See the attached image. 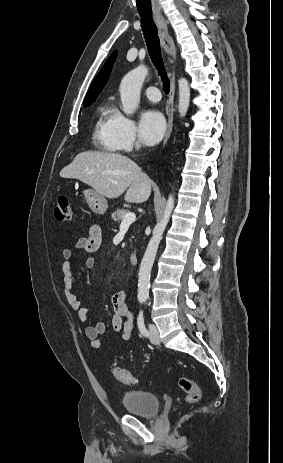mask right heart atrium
<instances>
[{"mask_svg": "<svg viewBox=\"0 0 283 463\" xmlns=\"http://www.w3.org/2000/svg\"><path fill=\"white\" fill-rule=\"evenodd\" d=\"M113 133L121 150L130 151L139 146L134 122L119 111L114 114Z\"/></svg>", "mask_w": 283, "mask_h": 463, "instance_id": "1", "label": "right heart atrium"}]
</instances>
